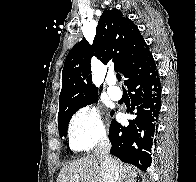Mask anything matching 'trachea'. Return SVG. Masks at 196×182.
<instances>
[{
    "label": "trachea",
    "mask_w": 196,
    "mask_h": 182,
    "mask_svg": "<svg viewBox=\"0 0 196 182\" xmlns=\"http://www.w3.org/2000/svg\"><path fill=\"white\" fill-rule=\"evenodd\" d=\"M116 77H117L118 81H121V75L120 74H117Z\"/></svg>",
    "instance_id": "3493384b"
}]
</instances>
